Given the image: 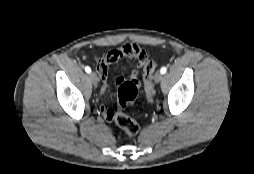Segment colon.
<instances>
[{
  "instance_id": "5ec220e1",
  "label": "colon",
  "mask_w": 254,
  "mask_h": 174,
  "mask_svg": "<svg viewBox=\"0 0 254 174\" xmlns=\"http://www.w3.org/2000/svg\"><path fill=\"white\" fill-rule=\"evenodd\" d=\"M134 45V44H130ZM157 69V63L153 60L146 61L143 70L144 89L146 97L151 100L154 95L153 89V74ZM138 94V85L134 82L127 81L119 86L117 111L113 114V120L118 128L127 136L134 137L139 132V125L132 118L127 116L123 110L124 108L133 103Z\"/></svg>"
}]
</instances>
